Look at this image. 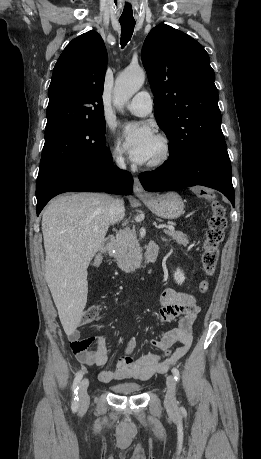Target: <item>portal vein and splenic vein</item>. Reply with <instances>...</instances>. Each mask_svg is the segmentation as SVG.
Masks as SVG:
<instances>
[{"label": "portal vein and splenic vein", "instance_id": "1", "mask_svg": "<svg viewBox=\"0 0 261 459\" xmlns=\"http://www.w3.org/2000/svg\"><path fill=\"white\" fill-rule=\"evenodd\" d=\"M158 229H162V228H167V229H170V230H174V227L171 226V225H165V224H162V225H158L156 226Z\"/></svg>", "mask_w": 261, "mask_h": 459}]
</instances>
